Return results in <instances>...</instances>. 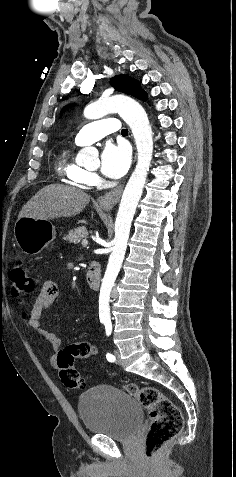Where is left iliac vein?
<instances>
[{"label":"left iliac vein","instance_id":"left-iliac-vein-1","mask_svg":"<svg viewBox=\"0 0 236 477\" xmlns=\"http://www.w3.org/2000/svg\"><path fill=\"white\" fill-rule=\"evenodd\" d=\"M114 355L116 357V362L118 364H121V358H120V354H119V351L117 349L114 350Z\"/></svg>","mask_w":236,"mask_h":477}]
</instances>
